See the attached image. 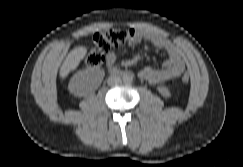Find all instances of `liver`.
I'll return each instance as SVG.
<instances>
[{
  "label": "liver",
  "mask_w": 243,
  "mask_h": 167,
  "mask_svg": "<svg viewBox=\"0 0 243 167\" xmlns=\"http://www.w3.org/2000/svg\"><path fill=\"white\" fill-rule=\"evenodd\" d=\"M86 53L87 48L84 46H78L71 50L60 68L59 76L61 78L67 77L71 71L79 66L80 61L85 57Z\"/></svg>",
  "instance_id": "1"
}]
</instances>
